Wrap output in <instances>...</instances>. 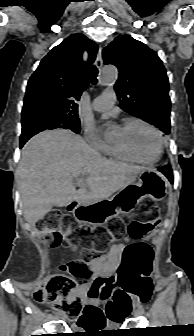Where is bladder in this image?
Here are the masks:
<instances>
[{
  "mask_svg": "<svg viewBox=\"0 0 194 336\" xmlns=\"http://www.w3.org/2000/svg\"><path fill=\"white\" fill-rule=\"evenodd\" d=\"M78 328H83V325H77Z\"/></svg>",
  "mask_w": 194,
  "mask_h": 336,
  "instance_id": "31cf9c89",
  "label": "bladder"
}]
</instances>
